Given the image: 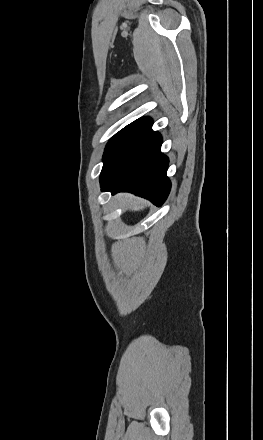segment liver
Masks as SVG:
<instances>
[{
    "label": "liver",
    "mask_w": 263,
    "mask_h": 440,
    "mask_svg": "<svg viewBox=\"0 0 263 440\" xmlns=\"http://www.w3.org/2000/svg\"><path fill=\"white\" fill-rule=\"evenodd\" d=\"M119 197L128 202V207L132 210V211H139L142 210L146 207V204L143 202H140L139 200H135L133 199L131 196L125 194V195H119Z\"/></svg>",
    "instance_id": "obj_1"
}]
</instances>
